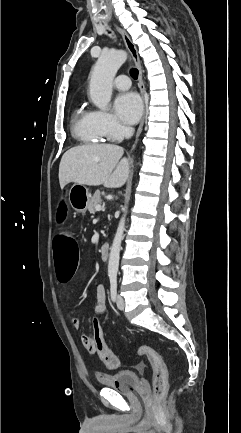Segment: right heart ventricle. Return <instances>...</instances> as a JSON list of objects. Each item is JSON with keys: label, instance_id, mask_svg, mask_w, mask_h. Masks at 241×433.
<instances>
[{"label": "right heart ventricle", "instance_id": "obj_1", "mask_svg": "<svg viewBox=\"0 0 241 433\" xmlns=\"http://www.w3.org/2000/svg\"><path fill=\"white\" fill-rule=\"evenodd\" d=\"M96 111L79 105L72 118V133L76 139L85 143H99L105 139L96 123Z\"/></svg>", "mask_w": 241, "mask_h": 433}]
</instances>
